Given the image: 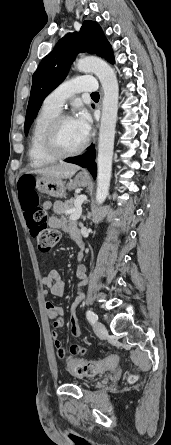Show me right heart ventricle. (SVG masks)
I'll list each match as a JSON object with an SVG mask.
<instances>
[{"label": "right heart ventricle", "instance_id": "right-heart-ventricle-1", "mask_svg": "<svg viewBox=\"0 0 171 445\" xmlns=\"http://www.w3.org/2000/svg\"><path fill=\"white\" fill-rule=\"evenodd\" d=\"M59 112L60 111L44 104L38 113L33 125L28 150V156L32 166L41 167L56 160V158L51 157L44 152L42 141L47 125L59 114Z\"/></svg>", "mask_w": 171, "mask_h": 445}]
</instances>
